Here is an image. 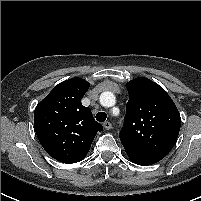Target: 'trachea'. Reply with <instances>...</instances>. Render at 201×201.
I'll list each match as a JSON object with an SVG mask.
<instances>
[{
    "instance_id": "1",
    "label": "trachea",
    "mask_w": 201,
    "mask_h": 201,
    "mask_svg": "<svg viewBox=\"0 0 201 201\" xmlns=\"http://www.w3.org/2000/svg\"><path fill=\"white\" fill-rule=\"evenodd\" d=\"M107 118V114L105 112H99L96 114V120L99 122H104Z\"/></svg>"
}]
</instances>
